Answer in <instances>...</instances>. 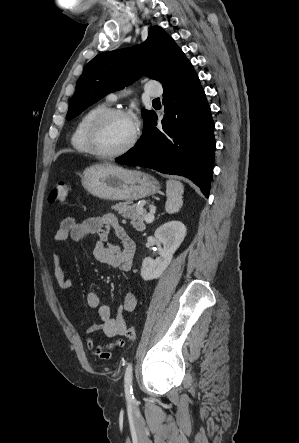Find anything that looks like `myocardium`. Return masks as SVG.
Listing matches in <instances>:
<instances>
[{"label": "myocardium", "mask_w": 299, "mask_h": 443, "mask_svg": "<svg viewBox=\"0 0 299 443\" xmlns=\"http://www.w3.org/2000/svg\"><path fill=\"white\" fill-rule=\"evenodd\" d=\"M117 116L126 117L132 120L134 124V131L132 138L130 139V141L126 146H124L122 149L116 152H111V153L103 152L98 146V135L104 123L110 118ZM139 134L140 132L137 123L126 110L120 108H109L102 111L93 119L87 131L86 141L91 154L101 159H115L127 154L135 147L139 139Z\"/></svg>", "instance_id": "obj_1"}]
</instances>
